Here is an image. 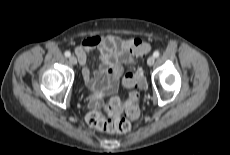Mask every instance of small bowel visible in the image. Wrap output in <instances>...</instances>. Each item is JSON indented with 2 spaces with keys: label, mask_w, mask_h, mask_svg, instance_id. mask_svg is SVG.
Segmentation results:
<instances>
[{
  "label": "small bowel",
  "mask_w": 230,
  "mask_h": 155,
  "mask_svg": "<svg viewBox=\"0 0 230 155\" xmlns=\"http://www.w3.org/2000/svg\"><path fill=\"white\" fill-rule=\"evenodd\" d=\"M132 42L133 39L103 35L88 37L81 45L75 47L74 51L82 67L84 82L92 92L90 102L92 107H102L114 115L119 113V111L112 112L108 105L101 103L100 95L116 91L121 77L125 87L132 86L126 72V65L131 61L128 47ZM93 50H97L100 57V64L95 71H91L87 65L88 53Z\"/></svg>",
  "instance_id": "1"
}]
</instances>
